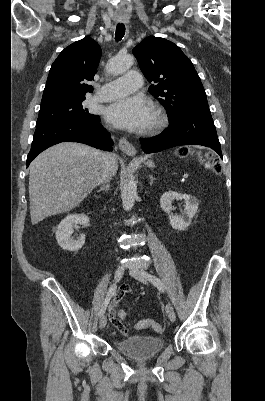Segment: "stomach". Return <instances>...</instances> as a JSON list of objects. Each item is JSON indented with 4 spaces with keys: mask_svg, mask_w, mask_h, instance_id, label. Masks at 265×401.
Listing matches in <instances>:
<instances>
[{
    "mask_svg": "<svg viewBox=\"0 0 265 401\" xmlns=\"http://www.w3.org/2000/svg\"><path fill=\"white\" fill-rule=\"evenodd\" d=\"M139 160H141V162H145L147 166H154L153 160H147L146 156H140Z\"/></svg>",
    "mask_w": 265,
    "mask_h": 401,
    "instance_id": "obj_1",
    "label": "stomach"
}]
</instances>
